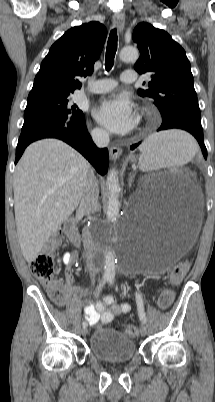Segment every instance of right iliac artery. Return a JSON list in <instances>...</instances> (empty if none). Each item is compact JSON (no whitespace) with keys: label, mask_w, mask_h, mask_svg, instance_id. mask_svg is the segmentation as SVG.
<instances>
[{"label":"right iliac artery","mask_w":215,"mask_h":402,"mask_svg":"<svg viewBox=\"0 0 215 402\" xmlns=\"http://www.w3.org/2000/svg\"><path fill=\"white\" fill-rule=\"evenodd\" d=\"M107 280H108V279H106V278H103V279L101 280V282L99 283V285H98V287H97L96 293H95L96 296L99 295V293H100L102 287L105 285V283H106ZM82 326H83V327H87V323H86V322H83V323H82Z\"/></svg>","instance_id":"obj_1"}]
</instances>
